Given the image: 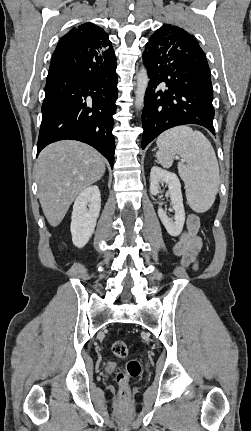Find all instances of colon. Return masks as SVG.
Returning <instances> with one entry per match:
<instances>
[{
	"label": "colon",
	"instance_id": "colon-1",
	"mask_svg": "<svg viewBox=\"0 0 251 431\" xmlns=\"http://www.w3.org/2000/svg\"><path fill=\"white\" fill-rule=\"evenodd\" d=\"M113 354L118 358H125L128 355V347L122 340H116L111 345ZM141 373V364L138 360H129L124 369L116 375V382L120 388V395L126 397L128 393V383L131 379L136 378Z\"/></svg>",
	"mask_w": 251,
	"mask_h": 431
}]
</instances>
